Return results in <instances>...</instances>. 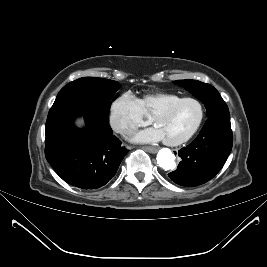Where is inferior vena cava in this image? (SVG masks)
<instances>
[{
    "mask_svg": "<svg viewBox=\"0 0 267 267\" xmlns=\"http://www.w3.org/2000/svg\"><path fill=\"white\" fill-rule=\"evenodd\" d=\"M133 131H134V130L131 129V128H124V129L122 130V132L125 133V134H132Z\"/></svg>",
    "mask_w": 267,
    "mask_h": 267,
    "instance_id": "1",
    "label": "inferior vena cava"
}]
</instances>
